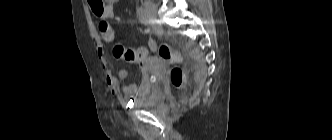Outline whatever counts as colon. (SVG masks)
<instances>
[{
  "label": "colon",
  "instance_id": "colon-1",
  "mask_svg": "<svg viewBox=\"0 0 332 140\" xmlns=\"http://www.w3.org/2000/svg\"><path fill=\"white\" fill-rule=\"evenodd\" d=\"M87 2L92 12L96 16L101 17L107 6L106 3L109 2V0H87ZM98 29L100 35L104 37L113 35L115 33L112 25L106 20H101L99 22ZM146 53L147 50L145 48L133 49L116 46L114 49V55L116 57L136 63L141 61L145 57ZM158 54L162 59L175 64V66L170 71V79L176 88H183L186 84V74L183 68L177 65L181 62L182 59L180 53L175 51L168 44L163 43L158 47Z\"/></svg>",
  "mask_w": 332,
  "mask_h": 140
}]
</instances>
